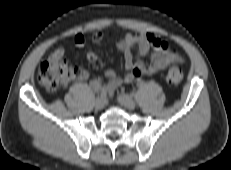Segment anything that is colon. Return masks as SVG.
Wrapping results in <instances>:
<instances>
[{
	"label": "colon",
	"mask_w": 231,
	"mask_h": 170,
	"mask_svg": "<svg viewBox=\"0 0 231 170\" xmlns=\"http://www.w3.org/2000/svg\"><path fill=\"white\" fill-rule=\"evenodd\" d=\"M172 53H175L173 50ZM86 77V72L79 67H70L65 62L52 63L45 61L41 64L37 79L39 83L49 92L56 93L66 87L72 80H81ZM183 77L182 68L178 63L173 64L166 75L167 83L171 86H177L181 83Z\"/></svg>",
	"instance_id": "5ec220e1"
}]
</instances>
